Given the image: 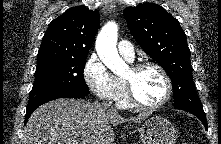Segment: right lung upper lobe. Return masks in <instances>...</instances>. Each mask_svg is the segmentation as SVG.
I'll return each mask as SVG.
<instances>
[{
    "label": "right lung upper lobe",
    "mask_w": 221,
    "mask_h": 144,
    "mask_svg": "<svg viewBox=\"0 0 221 144\" xmlns=\"http://www.w3.org/2000/svg\"><path fill=\"white\" fill-rule=\"evenodd\" d=\"M99 26L98 10L69 8L50 22L38 56L87 57Z\"/></svg>",
    "instance_id": "cb5924a9"
}]
</instances>
